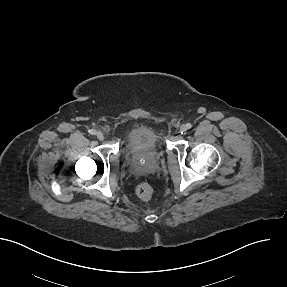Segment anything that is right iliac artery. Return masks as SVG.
Returning <instances> with one entry per match:
<instances>
[{
    "instance_id": "obj_1",
    "label": "right iliac artery",
    "mask_w": 287,
    "mask_h": 287,
    "mask_svg": "<svg viewBox=\"0 0 287 287\" xmlns=\"http://www.w3.org/2000/svg\"><path fill=\"white\" fill-rule=\"evenodd\" d=\"M88 132H89V134H91V135H95V134H96V131H95L94 129H90Z\"/></svg>"
}]
</instances>
